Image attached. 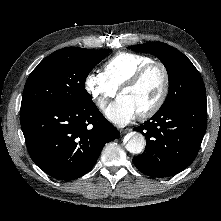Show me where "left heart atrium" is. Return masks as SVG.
Returning <instances> with one entry per match:
<instances>
[{"mask_svg":"<svg viewBox=\"0 0 221 221\" xmlns=\"http://www.w3.org/2000/svg\"><path fill=\"white\" fill-rule=\"evenodd\" d=\"M105 114L110 121L122 126L131 122L137 112L128 99L119 96L107 107Z\"/></svg>","mask_w":221,"mask_h":221,"instance_id":"39dd6f15","label":"left heart atrium"}]
</instances>
